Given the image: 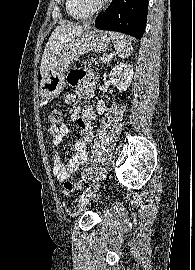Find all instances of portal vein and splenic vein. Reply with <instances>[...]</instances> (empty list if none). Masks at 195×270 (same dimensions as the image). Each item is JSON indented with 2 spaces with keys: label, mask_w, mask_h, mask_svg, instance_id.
Wrapping results in <instances>:
<instances>
[{
  "label": "portal vein and splenic vein",
  "mask_w": 195,
  "mask_h": 270,
  "mask_svg": "<svg viewBox=\"0 0 195 270\" xmlns=\"http://www.w3.org/2000/svg\"><path fill=\"white\" fill-rule=\"evenodd\" d=\"M107 57H108V58H112V57H113V55H112V54H110V55H108Z\"/></svg>",
  "instance_id": "18ae733b"
}]
</instances>
